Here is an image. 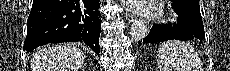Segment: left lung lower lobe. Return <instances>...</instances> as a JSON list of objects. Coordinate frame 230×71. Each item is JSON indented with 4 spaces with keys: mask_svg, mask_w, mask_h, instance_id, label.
<instances>
[{
    "mask_svg": "<svg viewBox=\"0 0 230 71\" xmlns=\"http://www.w3.org/2000/svg\"><path fill=\"white\" fill-rule=\"evenodd\" d=\"M174 11L178 15V24L153 26L148 36L141 44L156 43L171 39L190 40L205 37L203 22L200 13L199 0L171 1Z\"/></svg>",
    "mask_w": 230,
    "mask_h": 71,
    "instance_id": "obj_1",
    "label": "left lung lower lobe"
}]
</instances>
